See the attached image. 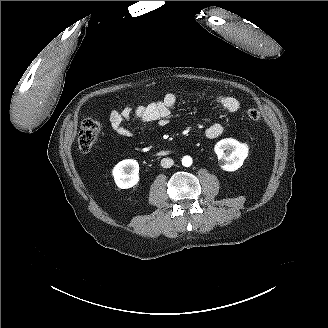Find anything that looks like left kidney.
I'll return each instance as SVG.
<instances>
[{"instance_id":"5707ae66","label":"left kidney","mask_w":328,"mask_h":328,"mask_svg":"<svg viewBox=\"0 0 328 328\" xmlns=\"http://www.w3.org/2000/svg\"><path fill=\"white\" fill-rule=\"evenodd\" d=\"M214 151L220 168L227 172H234L244 164L249 155V146L233 138H226L216 143Z\"/></svg>"}]
</instances>
